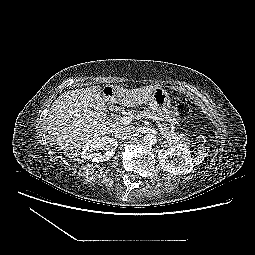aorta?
Masks as SVG:
<instances>
[{"mask_svg":"<svg viewBox=\"0 0 255 255\" xmlns=\"http://www.w3.org/2000/svg\"><path fill=\"white\" fill-rule=\"evenodd\" d=\"M143 142L147 146L154 145L157 142V137L154 134H146L143 137Z\"/></svg>","mask_w":255,"mask_h":255,"instance_id":"aorta-1","label":"aorta"}]
</instances>
